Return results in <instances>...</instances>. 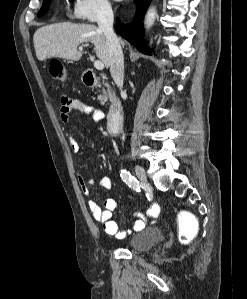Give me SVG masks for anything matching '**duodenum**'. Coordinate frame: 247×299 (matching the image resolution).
I'll return each instance as SVG.
<instances>
[{
	"mask_svg": "<svg viewBox=\"0 0 247 299\" xmlns=\"http://www.w3.org/2000/svg\"><path fill=\"white\" fill-rule=\"evenodd\" d=\"M83 79L86 85L94 86L98 79L95 73L90 69H85ZM123 123V107L118 100L111 102L107 116V130L110 134H116L120 130Z\"/></svg>",
	"mask_w": 247,
	"mask_h": 299,
	"instance_id": "obj_1",
	"label": "duodenum"
}]
</instances>
